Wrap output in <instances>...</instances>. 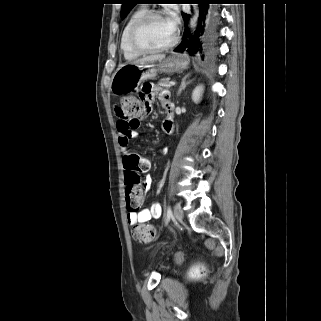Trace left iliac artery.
<instances>
[{"instance_id": "left-iliac-artery-1", "label": "left iliac artery", "mask_w": 321, "mask_h": 321, "mask_svg": "<svg viewBox=\"0 0 321 321\" xmlns=\"http://www.w3.org/2000/svg\"><path fill=\"white\" fill-rule=\"evenodd\" d=\"M172 217V210L170 207L167 208V218H166V223L169 222L170 218Z\"/></svg>"}]
</instances>
